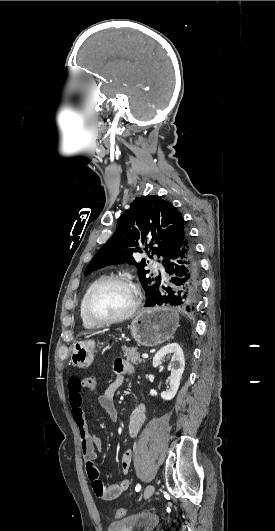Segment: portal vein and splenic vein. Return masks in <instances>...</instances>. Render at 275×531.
<instances>
[{
	"instance_id": "portal-vein-and-splenic-vein-1",
	"label": "portal vein and splenic vein",
	"mask_w": 275,
	"mask_h": 531,
	"mask_svg": "<svg viewBox=\"0 0 275 531\" xmlns=\"http://www.w3.org/2000/svg\"><path fill=\"white\" fill-rule=\"evenodd\" d=\"M143 359H148V355H142Z\"/></svg>"
}]
</instances>
